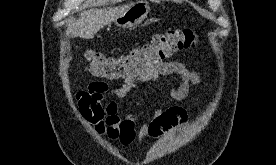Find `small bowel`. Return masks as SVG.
<instances>
[{
  "label": "small bowel",
  "instance_id": "small-bowel-1",
  "mask_svg": "<svg viewBox=\"0 0 276 165\" xmlns=\"http://www.w3.org/2000/svg\"><path fill=\"white\" fill-rule=\"evenodd\" d=\"M179 75L181 82L172 88L170 94L176 101L183 100L191 84L199 85V75L185 63L168 61L158 65L148 76L124 80L119 87H109L103 81H93L86 90L76 94V100L82 116L102 137L119 142L123 147L130 146L135 140L142 142L146 138H158L164 133L186 124L188 113L181 107L157 108L151 118L139 129L134 115L120 116L119 105L115 99H124L138 83L156 80L163 76ZM154 94L160 99L157 91ZM111 100H106V96Z\"/></svg>",
  "mask_w": 276,
  "mask_h": 165
}]
</instances>
